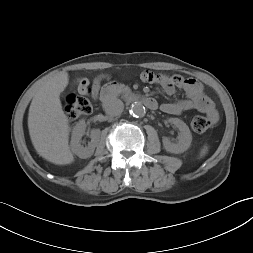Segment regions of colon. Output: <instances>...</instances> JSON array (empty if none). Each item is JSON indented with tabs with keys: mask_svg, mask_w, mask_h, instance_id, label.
<instances>
[{
	"mask_svg": "<svg viewBox=\"0 0 253 253\" xmlns=\"http://www.w3.org/2000/svg\"><path fill=\"white\" fill-rule=\"evenodd\" d=\"M92 106L88 98V93L69 95L65 104V114L69 120H75L91 112ZM211 122L207 117L196 115L190 121V127L195 133L205 132Z\"/></svg>",
	"mask_w": 253,
	"mask_h": 253,
	"instance_id": "5ec220e1",
	"label": "colon"
}]
</instances>
